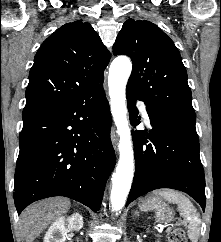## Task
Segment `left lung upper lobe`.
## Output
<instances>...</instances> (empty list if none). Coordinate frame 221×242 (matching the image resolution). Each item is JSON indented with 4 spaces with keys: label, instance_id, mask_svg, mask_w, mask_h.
<instances>
[{
    "label": "left lung upper lobe",
    "instance_id": "1",
    "mask_svg": "<svg viewBox=\"0 0 221 242\" xmlns=\"http://www.w3.org/2000/svg\"><path fill=\"white\" fill-rule=\"evenodd\" d=\"M114 55L133 62L126 90L156 112L196 122L187 72L174 42L147 20L128 19L113 45Z\"/></svg>",
    "mask_w": 221,
    "mask_h": 242
}]
</instances>
